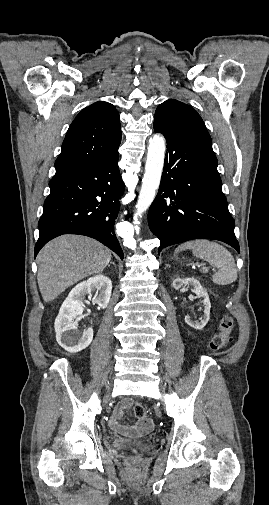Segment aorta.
Listing matches in <instances>:
<instances>
[{"label":"aorta","instance_id":"1","mask_svg":"<svg viewBox=\"0 0 269 505\" xmlns=\"http://www.w3.org/2000/svg\"><path fill=\"white\" fill-rule=\"evenodd\" d=\"M165 148V139L162 136L156 134L149 140L145 173L135 206L136 212L133 217L135 224L142 217L143 213L147 211L156 196L162 176ZM135 229L138 233L139 229L137 226Z\"/></svg>","mask_w":269,"mask_h":505}]
</instances>
